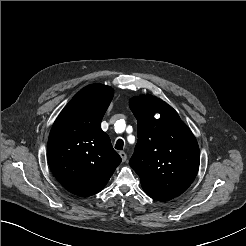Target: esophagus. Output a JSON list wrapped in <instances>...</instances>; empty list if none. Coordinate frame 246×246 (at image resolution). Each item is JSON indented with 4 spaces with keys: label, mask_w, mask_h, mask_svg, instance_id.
<instances>
[{
    "label": "esophagus",
    "mask_w": 246,
    "mask_h": 246,
    "mask_svg": "<svg viewBox=\"0 0 246 246\" xmlns=\"http://www.w3.org/2000/svg\"><path fill=\"white\" fill-rule=\"evenodd\" d=\"M119 155L122 159V162H125L127 160V154L124 151H120Z\"/></svg>",
    "instance_id": "34e87169"
}]
</instances>
